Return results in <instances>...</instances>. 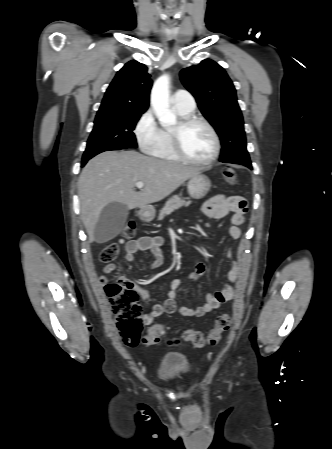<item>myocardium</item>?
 Returning <instances> with one entry per match:
<instances>
[{
  "instance_id": "1",
  "label": "myocardium",
  "mask_w": 332,
  "mask_h": 449,
  "mask_svg": "<svg viewBox=\"0 0 332 449\" xmlns=\"http://www.w3.org/2000/svg\"><path fill=\"white\" fill-rule=\"evenodd\" d=\"M193 124H201V125L205 126L209 130V132L213 138V142H214L213 153L209 158H207L205 160L194 159V158L190 157L183 149L181 133L185 128H187L188 126H191ZM170 133H171V141H172V147H173L174 153L180 160H182L184 162L194 164V165H199V166H206V165L212 164L219 157L220 150H221V143H220L219 135H218L216 129L213 127V125L204 118L196 117V116L183 117L179 120L178 127L176 129H172L170 131Z\"/></svg>"
}]
</instances>
